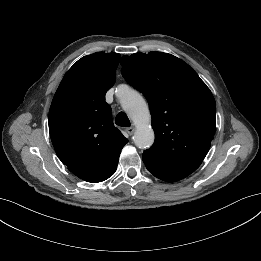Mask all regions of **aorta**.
<instances>
[{
    "label": "aorta",
    "mask_w": 261,
    "mask_h": 261,
    "mask_svg": "<svg viewBox=\"0 0 261 261\" xmlns=\"http://www.w3.org/2000/svg\"><path fill=\"white\" fill-rule=\"evenodd\" d=\"M118 96L124 111L129 115L136 126L133 141L140 149L149 148L155 139L150 125L151 115L144 98L136 91L122 85L118 88Z\"/></svg>",
    "instance_id": "aorta-1"
}]
</instances>
